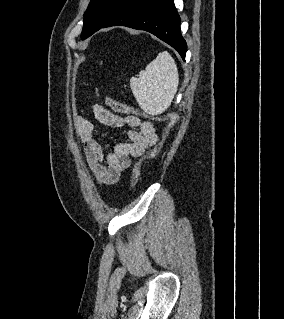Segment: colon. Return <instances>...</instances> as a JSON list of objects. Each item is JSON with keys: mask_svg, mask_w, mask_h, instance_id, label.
Listing matches in <instances>:
<instances>
[{"mask_svg": "<svg viewBox=\"0 0 284 319\" xmlns=\"http://www.w3.org/2000/svg\"><path fill=\"white\" fill-rule=\"evenodd\" d=\"M104 101H105V104L115 112L122 113V114H129V115L138 114V112L135 109H133L129 105H127L123 102H120L114 98L105 97ZM152 118L166 122V127H165V131L163 134V140H165L168 137V135L170 134V132L172 131L173 127L175 126V124L177 122V116L173 113H167V114H164L162 116H155ZM161 145L162 144H160L157 147L150 150L146 154L145 158L155 157L159 153ZM140 174H141V161H138L134 164L133 169H132V175H131V177H132L131 187L132 188L137 185V183L140 179Z\"/></svg>", "mask_w": 284, "mask_h": 319, "instance_id": "1", "label": "colon"}]
</instances>
